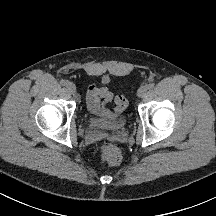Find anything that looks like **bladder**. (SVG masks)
<instances>
[{"mask_svg": "<svg viewBox=\"0 0 216 216\" xmlns=\"http://www.w3.org/2000/svg\"><path fill=\"white\" fill-rule=\"evenodd\" d=\"M91 122H94L93 120H91ZM125 126V119L124 118H120L117 123H116V128L121 129Z\"/></svg>", "mask_w": 216, "mask_h": 216, "instance_id": "obj_1", "label": "bladder"}]
</instances>
